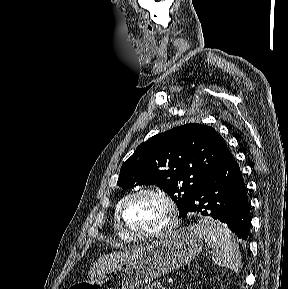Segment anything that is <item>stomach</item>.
<instances>
[{"instance_id": "stomach-1", "label": "stomach", "mask_w": 288, "mask_h": 289, "mask_svg": "<svg viewBox=\"0 0 288 289\" xmlns=\"http://www.w3.org/2000/svg\"><path fill=\"white\" fill-rule=\"evenodd\" d=\"M202 246L203 238L192 226L181 227L145 247L136 259L70 289H135L188 264Z\"/></svg>"}]
</instances>
